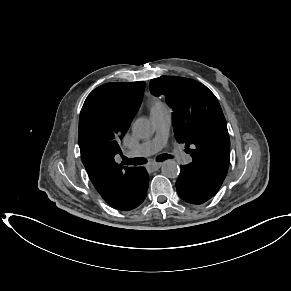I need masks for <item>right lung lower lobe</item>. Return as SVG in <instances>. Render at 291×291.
<instances>
[{"mask_svg": "<svg viewBox=\"0 0 291 291\" xmlns=\"http://www.w3.org/2000/svg\"><path fill=\"white\" fill-rule=\"evenodd\" d=\"M128 180L129 187L127 198L117 205H110L120 211H129L138 207L147 195L149 176L143 167L134 168Z\"/></svg>", "mask_w": 291, "mask_h": 291, "instance_id": "98d812e1", "label": "right lung lower lobe"}]
</instances>
